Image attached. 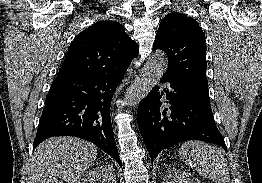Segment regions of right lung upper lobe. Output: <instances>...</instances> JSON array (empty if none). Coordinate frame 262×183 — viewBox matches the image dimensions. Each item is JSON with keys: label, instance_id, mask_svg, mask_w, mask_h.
Returning <instances> with one entry per match:
<instances>
[{"label": "right lung upper lobe", "instance_id": "1", "mask_svg": "<svg viewBox=\"0 0 262 183\" xmlns=\"http://www.w3.org/2000/svg\"><path fill=\"white\" fill-rule=\"evenodd\" d=\"M139 48L115 21H100L82 31L68 48L56 79H74L127 70Z\"/></svg>", "mask_w": 262, "mask_h": 183}]
</instances>
